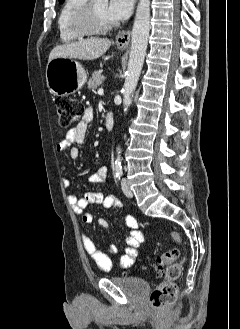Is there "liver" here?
<instances>
[{"mask_svg":"<svg viewBox=\"0 0 240 329\" xmlns=\"http://www.w3.org/2000/svg\"><path fill=\"white\" fill-rule=\"evenodd\" d=\"M111 46L109 39L88 38L63 45L52 49L48 61L57 57H70L80 60H95L101 57Z\"/></svg>","mask_w":240,"mask_h":329,"instance_id":"liver-1","label":"liver"}]
</instances>
